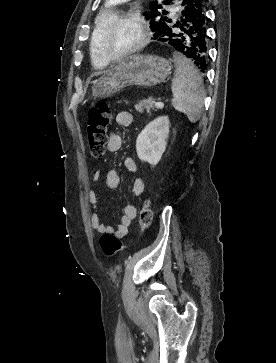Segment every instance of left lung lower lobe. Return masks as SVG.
Wrapping results in <instances>:
<instances>
[{"label": "left lung lower lobe", "instance_id": "left-lung-lower-lobe-1", "mask_svg": "<svg viewBox=\"0 0 276 363\" xmlns=\"http://www.w3.org/2000/svg\"><path fill=\"white\" fill-rule=\"evenodd\" d=\"M206 0H188L182 16L173 20L154 34V39L169 45L186 57L204 72L207 63V35L205 16Z\"/></svg>", "mask_w": 276, "mask_h": 363}]
</instances>
